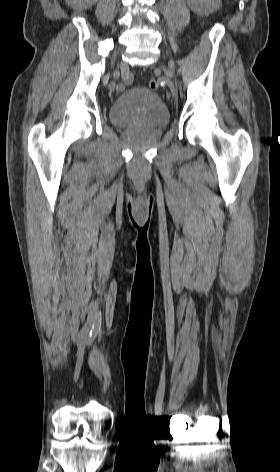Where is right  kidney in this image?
I'll list each match as a JSON object with an SVG mask.
<instances>
[{
    "instance_id": "1",
    "label": "right kidney",
    "mask_w": 280,
    "mask_h": 472,
    "mask_svg": "<svg viewBox=\"0 0 280 472\" xmlns=\"http://www.w3.org/2000/svg\"><path fill=\"white\" fill-rule=\"evenodd\" d=\"M81 2L83 7L88 8L97 2V0H81Z\"/></svg>"
}]
</instances>
